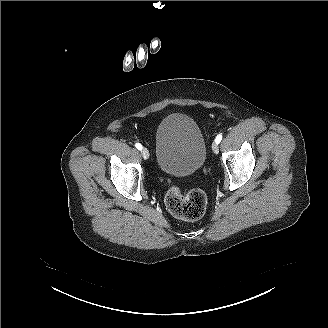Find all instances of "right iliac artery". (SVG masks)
I'll return each mask as SVG.
<instances>
[{
    "label": "right iliac artery",
    "instance_id": "right-iliac-artery-1",
    "mask_svg": "<svg viewBox=\"0 0 328 328\" xmlns=\"http://www.w3.org/2000/svg\"><path fill=\"white\" fill-rule=\"evenodd\" d=\"M135 147L138 149V150H141L142 149V145L140 143H136L135 144Z\"/></svg>",
    "mask_w": 328,
    "mask_h": 328
}]
</instances>
